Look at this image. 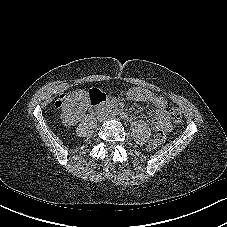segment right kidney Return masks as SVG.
Instances as JSON below:
<instances>
[{
    "label": "right kidney",
    "instance_id": "1",
    "mask_svg": "<svg viewBox=\"0 0 227 227\" xmlns=\"http://www.w3.org/2000/svg\"><path fill=\"white\" fill-rule=\"evenodd\" d=\"M79 100L80 96L78 95H71L67 98L62 108L61 118L63 123H67L68 125H75L77 123L81 111V107H78L77 103Z\"/></svg>",
    "mask_w": 227,
    "mask_h": 227
}]
</instances>
